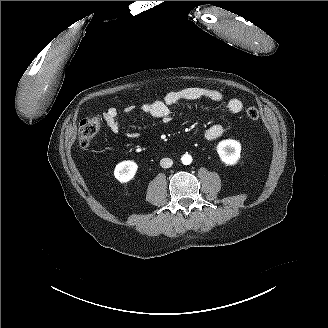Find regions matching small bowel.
Instances as JSON below:
<instances>
[{
	"label": "small bowel",
	"instance_id": "obj_1",
	"mask_svg": "<svg viewBox=\"0 0 328 328\" xmlns=\"http://www.w3.org/2000/svg\"><path fill=\"white\" fill-rule=\"evenodd\" d=\"M200 99H208L215 103H222L227 110L233 114L240 113L243 110V102L238 98L227 99L224 94L216 89L204 87H187L177 91L168 92L163 99H155L144 103L140 110L151 118L159 119L163 123H168L172 117L171 107L180 101H195ZM135 111V106L127 105L123 112L131 114ZM120 113L115 107H110L103 113V119L113 133H119ZM224 129L221 125L215 124L205 131V138L209 141L216 140L222 136ZM129 138H134V133H126Z\"/></svg>",
	"mask_w": 328,
	"mask_h": 328
}]
</instances>
